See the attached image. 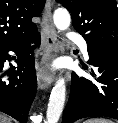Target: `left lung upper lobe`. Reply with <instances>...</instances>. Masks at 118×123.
Here are the masks:
<instances>
[{
  "instance_id": "5c2ea615",
  "label": "left lung upper lobe",
  "mask_w": 118,
  "mask_h": 123,
  "mask_svg": "<svg viewBox=\"0 0 118 123\" xmlns=\"http://www.w3.org/2000/svg\"><path fill=\"white\" fill-rule=\"evenodd\" d=\"M71 13L73 27L88 47L118 55V8L115 0H56Z\"/></svg>"
}]
</instances>
